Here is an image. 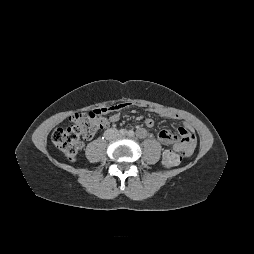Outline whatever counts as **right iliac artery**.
Returning <instances> with one entry per match:
<instances>
[{
	"label": "right iliac artery",
	"mask_w": 254,
	"mask_h": 254,
	"mask_svg": "<svg viewBox=\"0 0 254 254\" xmlns=\"http://www.w3.org/2000/svg\"><path fill=\"white\" fill-rule=\"evenodd\" d=\"M119 133H120V135L124 136L127 134V131L125 129H120Z\"/></svg>",
	"instance_id": "right-iliac-artery-1"
}]
</instances>
